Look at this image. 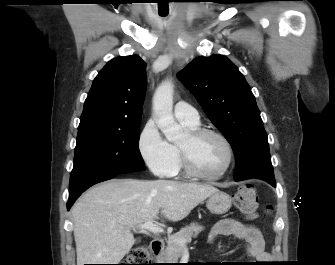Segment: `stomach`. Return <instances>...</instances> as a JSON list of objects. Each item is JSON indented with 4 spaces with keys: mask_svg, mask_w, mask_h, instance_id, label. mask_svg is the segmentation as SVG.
Segmentation results:
<instances>
[{
    "mask_svg": "<svg viewBox=\"0 0 335 265\" xmlns=\"http://www.w3.org/2000/svg\"><path fill=\"white\" fill-rule=\"evenodd\" d=\"M232 205V198L223 191H217L209 196L206 201L208 210L213 214H224L228 212Z\"/></svg>",
    "mask_w": 335,
    "mask_h": 265,
    "instance_id": "obj_1",
    "label": "stomach"
}]
</instances>
